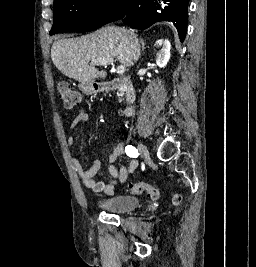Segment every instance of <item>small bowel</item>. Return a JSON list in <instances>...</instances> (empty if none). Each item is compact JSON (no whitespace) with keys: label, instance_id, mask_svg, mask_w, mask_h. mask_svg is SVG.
<instances>
[{"label":"small bowel","instance_id":"obj_1","mask_svg":"<svg viewBox=\"0 0 256 267\" xmlns=\"http://www.w3.org/2000/svg\"><path fill=\"white\" fill-rule=\"evenodd\" d=\"M89 114L86 110L81 109L70 123V128L72 130L77 129L81 124L88 121ZM69 146L75 144V138L69 136L67 139ZM124 147L121 144H117L112 148L111 154L109 156L110 162V175L112 180L109 182L98 181L95 179L99 169L100 162L98 160H91L88 168H84L77 158L72 159V165L78 176L80 177L83 185L93 193H105L106 195H113L117 191V181L120 183H125L128 176L133 173L139 165V161L136 158H131L128 165H121L119 167L115 166V162L123 155Z\"/></svg>","mask_w":256,"mask_h":267}]
</instances>
